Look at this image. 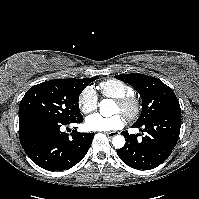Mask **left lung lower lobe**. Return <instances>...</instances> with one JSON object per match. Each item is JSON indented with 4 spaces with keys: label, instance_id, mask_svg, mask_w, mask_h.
<instances>
[{
    "label": "left lung lower lobe",
    "instance_id": "left-lung-lower-lobe-1",
    "mask_svg": "<svg viewBox=\"0 0 199 199\" xmlns=\"http://www.w3.org/2000/svg\"><path fill=\"white\" fill-rule=\"evenodd\" d=\"M145 135L137 141V135L123 131L126 144L118 149L120 159L134 169L150 170L162 164L175 147L181 127V110L163 113L142 125H133Z\"/></svg>",
    "mask_w": 199,
    "mask_h": 199
}]
</instances>
